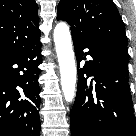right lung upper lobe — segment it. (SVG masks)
Listing matches in <instances>:
<instances>
[{"label": "right lung upper lobe", "mask_w": 136, "mask_h": 136, "mask_svg": "<svg viewBox=\"0 0 136 136\" xmlns=\"http://www.w3.org/2000/svg\"><path fill=\"white\" fill-rule=\"evenodd\" d=\"M35 0H0V55L12 53L40 37Z\"/></svg>", "instance_id": "right-lung-upper-lobe-1"}]
</instances>
